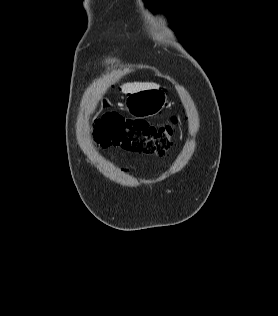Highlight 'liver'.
Masks as SVG:
<instances>
[{
	"label": "liver",
	"instance_id": "liver-1",
	"mask_svg": "<svg viewBox=\"0 0 278 316\" xmlns=\"http://www.w3.org/2000/svg\"><path fill=\"white\" fill-rule=\"evenodd\" d=\"M160 86L155 83H142V82H134V83H125L122 85V92L125 94L134 93L140 90L159 88Z\"/></svg>",
	"mask_w": 278,
	"mask_h": 316
}]
</instances>
